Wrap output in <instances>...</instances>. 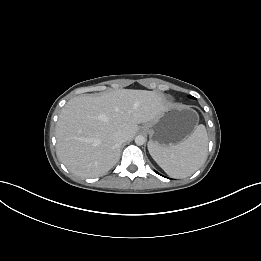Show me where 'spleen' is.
Returning a JSON list of instances; mask_svg holds the SVG:
<instances>
[{
  "mask_svg": "<svg viewBox=\"0 0 261 261\" xmlns=\"http://www.w3.org/2000/svg\"><path fill=\"white\" fill-rule=\"evenodd\" d=\"M208 137L204 125H198L193 133L169 148L152 143L148 149L156 163L171 177L184 178L192 175L207 156Z\"/></svg>",
  "mask_w": 261,
  "mask_h": 261,
  "instance_id": "obj_1",
  "label": "spleen"
}]
</instances>
